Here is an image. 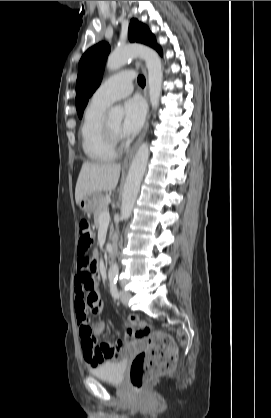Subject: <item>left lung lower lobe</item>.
<instances>
[{
  "instance_id": "obj_1",
  "label": "left lung lower lobe",
  "mask_w": 271,
  "mask_h": 418,
  "mask_svg": "<svg viewBox=\"0 0 271 418\" xmlns=\"http://www.w3.org/2000/svg\"><path fill=\"white\" fill-rule=\"evenodd\" d=\"M156 50H157L160 54L162 53V52H161L160 47H159V48H157Z\"/></svg>"
}]
</instances>
